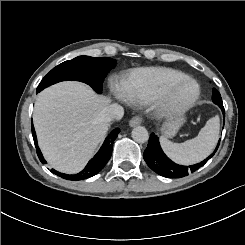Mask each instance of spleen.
<instances>
[{
	"mask_svg": "<svg viewBox=\"0 0 245 245\" xmlns=\"http://www.w3.org/2000/svg\"><path fill=\"white\" fill-rule=\"evenodd\" d=\"M220 116L210 118L194 139L182 143H172L164 137L159 138L160 146L166 156L181 166H191L204 161L211 155L219 141Z\"/></svg>",
	"mask_w": 245,
	"mask_h": 245,
	"instance_id": "obj_1",
	"label": "spleen"
}]
</instances>
